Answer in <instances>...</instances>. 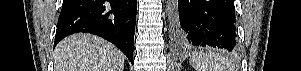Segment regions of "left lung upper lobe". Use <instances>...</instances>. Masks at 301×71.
Returning a JSON list of instances; mask_svg holds the SVG:
<instances>
[{"instance_id": "left-lung-upper-lobe-1", "label": "left lung upper lobe", "mask_w": 301, "mask_h": 71, "mask_svg": "<svg viewBox=\"0 0 301 71\" xmlns=\"http://www.w3.org/2000/svg\"><path fill=\"white\" fill-rule=\"evenodd\" d=\"M172 34H173V38L175 39V33H174L173 26H172Z\"/></svg>"}]
</instances>
